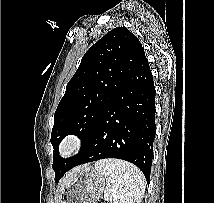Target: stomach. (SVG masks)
<instances>
[{
	"label": "stomach",
	"mask_w": 214,
	"mask_h": 203,
	"mask_svg": "<svg viewBox=\"0 0 214 203\" xmlns=\"http://www.w3.org/2000/svg\"><path fill=\"white\" fill-rule=\"evenodd\" d=\"M106 177L90 165L82 166L72 182L65 186L57 203H97L105 192Z\"/></svg>",
	"instance_id": "0dacf381"
}]
</instances>
